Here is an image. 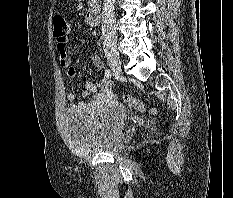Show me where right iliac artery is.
Masks as SVG:
<instances>
[{"instance_id": "obj_1", "label": "right iliac artery", "mask_w": 233, "mask_h": 198, "mask_svg": "<svg viewBox=\"0 0 233 198\" xmlns=\"http://www.w3.org/2000/svg\"><path fill=\"white\" fill-rule=\"evenodd\" d=\"M105 76H106L107 78H111V77H112V72H111L110 69H107V70L105 71Z\"/></svg>"}]
</instances>
